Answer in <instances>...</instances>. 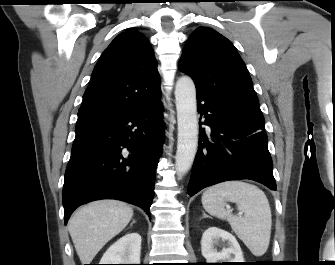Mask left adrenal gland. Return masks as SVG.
Returning <instances> with one entry per match:
<instances>
[{
  "instance_id": "obj_1",
  "label": "left adrenal gland",
  "mask_w": 335,
  "mask_h": 265,
  "mask_svg": "<svg viewBox=\"0 0 335 265\" xmlns=\"http://www.w3.org/2000/svg\"><path fill=\"white\" fill-rule=\"evenodd\" d=\"M203 217H208V215L203 211Z\"/></svg>"
}]
</instances>
